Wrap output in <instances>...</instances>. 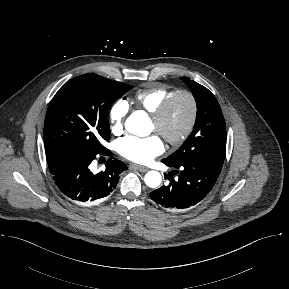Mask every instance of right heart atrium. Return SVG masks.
I'll return each instance as SVG.
<instances>
[{"mask_svg": "<svg viewBox=\"0 0 289 289\" xmlns=\"http://www.w3.org/2000/svg\"><path fill=\"white\" fill-rule=\"evenodd\" d=\"M130 110V105L125 99H118L115 101L109 110V122L111 130L114 134L118 135L123 132L124 120Z\"/></svg>", "mask_w": 289, "mask_h": 289, "instance_id": "1", "label": "right heart atrium"}]
</instances>
